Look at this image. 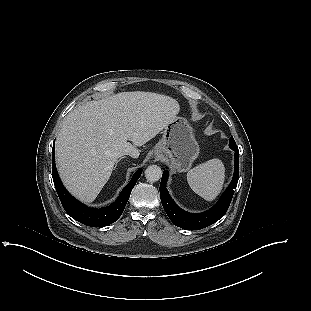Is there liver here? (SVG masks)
<instances>
[{
    "label": "liver",
    "instance_id": "6515ba94",
    "mask_svg": "<svg viewBox=\"0 0 311 311\" xmlns=\"http://www.w3.org/2000/svg\"><path fill=\"white\" fill-rule=\"evenodd\" d=\"M179 109L172 97L143 91L121 92L75 108L64 120L55 146L64 186L79 200L93 202L117 159L138 158L136 146L165 129Z\"/></svg>",
    "mask_w": 311,
    "mask_h": 311
}]
</instances>
